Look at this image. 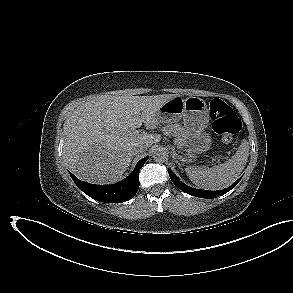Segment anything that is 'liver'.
<instances>
[{"label":"liver","instance_id":"6515ba94","mask_svg":"<svg viewBox=\"0 0 293 293\" xmlns=\"http://www.w3.org/2000/svg\"><path fill=\"white\" fill-rule=\"evenodd\" d=\"M177 96L105 94L80 104L63 125L66 166L79 179L92 184L117 182L129 167L136 145L146 150L161 139L136 129L142 123L156 128L160 108Z\"/></svg>","mask_w":293,"mask_h":293}]
</instances>
